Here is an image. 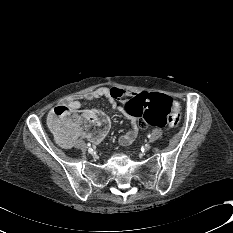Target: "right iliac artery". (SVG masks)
I'll use <instances>...</instances> for the list:
<instances>
[{
    "instance_id": "right-iliac-artery-1",
    "label": "right iliac artery",
    "mask_w": 233,
    "mask_h": 233,
    "mask_svg": "<svg viewBox=\"0 0 233 233\" xmlns=\"http://www.w3.org/2000/svg\"><path fill=\"white\" fill-rule=\"evenodd\" d=\"M88 146H91V144H90V143H88ZM89 149L93 150L92 148H89Z\"/></svg>"
}]
</instances>
